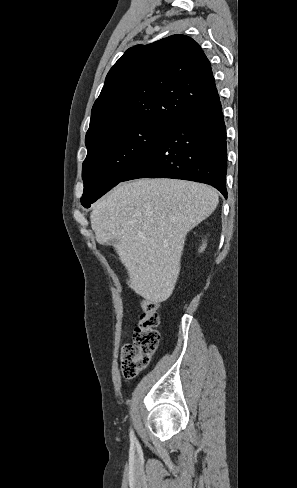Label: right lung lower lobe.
Returning <instances> with one entry per match:
<instances>
[{
  "label": "right lung lower lobe",
  "mask_w": 297,
  "mask_h": 488,
  "mask_svg": "<svg viewBox=\"0 0 297 488\" xmlns=\"http://www.w3.org/2000/svg\"><path fill=\"white\" fill-rule=\"evenodd\" d=\"M226 127L219 96L171 123L122 180L174 178L212 185L227 198Z\"/></svg>",
  "instance_id": "98d812e1"
}]
</instances>
